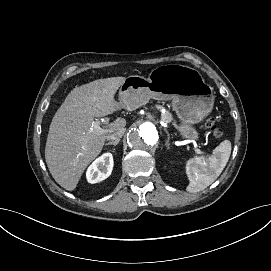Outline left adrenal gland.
I'll return each instance as SVG.
<instances>
[{
    "mask_svg": "<svg viewBox=\"0 0 271 271\" xmlns=\"http://www.w3.org/2000/svg\"><path fill=\"white\" fill-rule=\"evenodd\" d=\"M164 130H165V132H166V134H167V140H166L165 145H166L167 147H169V145H170V143H169V140H170V134H169V132L167 131V129H164Z\"/></svg>",
    "mask_w": 271,
    "mask_h": 271,
    "instance_id": "a2214340",
    "label": "left adrenal gland"
}]
</instances>
